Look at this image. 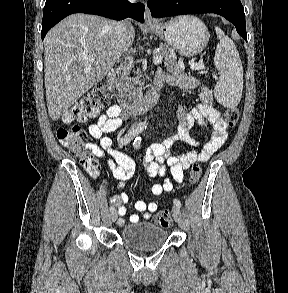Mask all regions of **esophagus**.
Returning a JSON list of instances; mask_svg holds the SVG:
<instances>
[{
	"label": "esophagus",
	"mask_w": 288,
	"mask_h": 293,
	"mask_svg": "<svg viewBox=\"0 0 288 293\" xmlns=\"http://www.w3.org/2000/svg\"><path fill=\"white\" fill-rule=\"evenodd\" d=\"M145 23L150 25L156 23L155 19L152 17L150 10L146 7L145 9Z\"/></svg>",
	"instance_id": "34e87169"
}]
</instances>
